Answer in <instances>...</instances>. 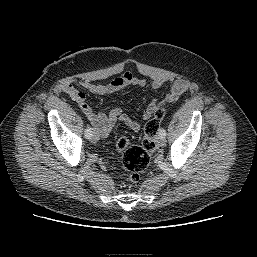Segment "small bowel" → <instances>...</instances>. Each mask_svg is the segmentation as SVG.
Listing matches in <instances>:
<instances>
[{
  "label": "small bowel",
  "instance_id": "1",
  "mask_svg": "<svg viewBox=\"0 0 257 257\" xmlns=\"http://www.w3.org/2000/svg\"><path fill=\"white\" fill-rule=\"evenodd\" d=\"M165 82L164 77H158L152 81L151 86L157 89L163 86ZM76 85L91 94L105 95L119 92L131 86L142 88L146 85L145 79L136 77L130 72H124L108 84H95L88 80H79L77 82H65L62 86L63 91L79 106L89 120L98 138L106 137L117 123H122L135 132L139 131L140 123L125 114L120 107H115L108 112L94 113L86 102L85 94L78 90ZM188 88L189 83L185 80L178 79L172 82L167 93L160 98H155L147 105L143 111L142 119L148 120L163 105L178 100Z\"/></svg>",
  "mask_w": 257,
  "mask_h": 257
}]
</instances>
